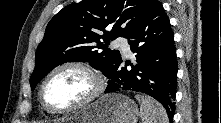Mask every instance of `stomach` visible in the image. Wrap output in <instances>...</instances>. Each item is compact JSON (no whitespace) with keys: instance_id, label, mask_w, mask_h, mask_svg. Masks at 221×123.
Here are the masks:
<instances>
[{"instance_id":"obj_1","label":"stomach","mask_w":221,"mask_h":123,"mask_svg":"<svg viewBox=\"0 0 221 123\" xmlns=\"http://www.w3.org/2000/svg\"><path fill=\"white\" fill-rule=\"evenodd\" d=\"M139 114L131 98L112 93L82 107L60 123H136Z\"/></svg>"}]
</instances>
